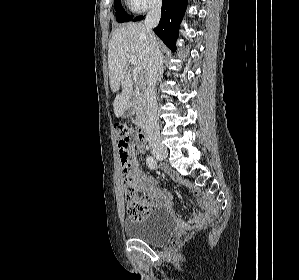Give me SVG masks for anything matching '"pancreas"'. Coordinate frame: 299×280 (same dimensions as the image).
<instances>
[{"label": "pancreas", "instance_id": "obj_1", "mask_svg": "<svg viewBox=\"0 0 299 280\" xmlns=\"http://www.w3.org/2000/svg\"><path fill=\"white\" fill-rule=\"evenodd\" d=\"M134 111L136 112V125L141 126L144 120V98L141 94L134 93L132 98Z\"/></svg>", "mask_w": 299, "mask_h": 280}]
</instances>
